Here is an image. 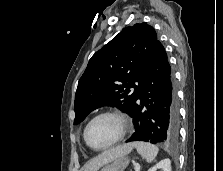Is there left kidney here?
Instances as JSON below:
<instances>
[{"label": "left kidney", "instance_id": "5707ae66", "mask_svg": "<svg viewBox=\"0 0 223 171\" xmlns=\"http://www.w3.org/2000/svg\"><path fill=\"white\" fill-rule=\"evenodd\" d=\"M171 171V161L170 159H164L161 160L159 163H157L155 166L150 168L148 171Z\"/></svg>", "mask_w": 223, "mask_h": 171}]
</instances>
